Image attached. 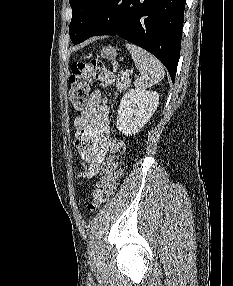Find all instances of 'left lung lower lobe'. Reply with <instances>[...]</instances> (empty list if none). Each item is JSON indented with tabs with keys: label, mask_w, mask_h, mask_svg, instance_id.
<instances>
[{
	"label": "left lung lower lobe",
	"mask_w": 233,
	"mask_h": 286,
	"mask_svg": "<svg viewBox=\"0 0 233 286\" xmlns=\"http://www.w3.org/2000/svg\"><path fill=\"white\" fill-rule=\"evenodd\" d=\"M185 3L186 0H105L74 44L94 35H118L157 57L174 82Z\"/></svg>",
	"instance_id": "obj_1"
}]
</instances>
